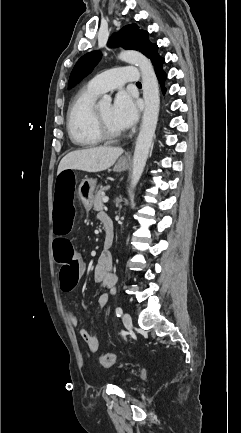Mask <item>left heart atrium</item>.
Wrapping results in <instances>:
<instances>
[{
    "mask_svg": "<svg viewBox=\"0 0 241 433\" xmlns=\"http://www.w3.org/2000/svg\"><path fill=\"white\" fill-rule=\"evenodd\" d=\"M138 118V106L127 93H119L112 105V119L122 131L132 127Z\"/></svg>",
    "mask_w": 241,
    "mask_h": 433,
    "instance_id": "left-heart-atrium-1",
    "label": "left heart atrium"
}]
</instances>
